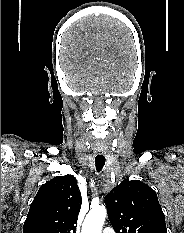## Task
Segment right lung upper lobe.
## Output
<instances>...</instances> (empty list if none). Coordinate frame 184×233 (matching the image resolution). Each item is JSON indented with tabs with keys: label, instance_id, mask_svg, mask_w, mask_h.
Here are the masks:
<instances>
[{
	"label": "right lung upper lobe",
	"instance_id": "cb5924a9",
	"mask_svg": "<svg viewBox=\"0 0 184 233\" xmlns=\"http://www.w3.org/2000/svg\"><path fill=\"white\" fill-rule=\"evenodd\" d=\"M82 198L73 175L43 184L31 203L23 233H74Z\"/></svg>",
	"mask_w": 184,
	"mask_h": 233
}]
</instances>
